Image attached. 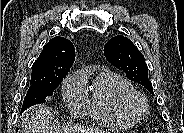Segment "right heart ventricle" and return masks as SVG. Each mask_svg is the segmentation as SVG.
<instances>
[{"mask_svg": "<svg viewBox=\"0 0 184 133\" xmlns=\"http://www.w3.org/2000/svg\"><path fill=\"white\" fill-rule=\"evenodd\" d=\"M81 74L85 79L87 74ZM129 90H133L131 83L121 75L108 69L98 71L90 86L88 113L101 124L117 127L132 125L135 120L126 116L119 105L121 95Z\"/></svg>", "mask_w": 184, "mask_h": 133, "instance_id": "obj_1", "label": "right heart ventricle"}]
</instances>
